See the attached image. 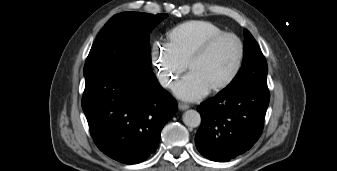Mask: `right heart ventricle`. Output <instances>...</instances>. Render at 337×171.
<instances>
[{
  "label": "right heart ventricle",
  "instance_id": "e07e8e85",
  "mask_svg": "<svg viewBox=\"0 0 337 171\" xmlns=\"http://www.w3.org/2000/svg\"><path fill=\"white\" fill-rule=\"evenodd\" d=\"M224 32L208 20H190L179 24L167 33L166 45L184 63H188L196 48L205 40Z\"/></svg>",
  "mask_w": 337,
  "mask_h": 171
}]
</instances>
